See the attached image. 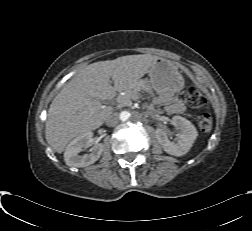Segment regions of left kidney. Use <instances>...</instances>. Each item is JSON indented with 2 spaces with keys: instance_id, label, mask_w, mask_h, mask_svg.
<instances>
[{
  "instance_id": "left-kidney-1",
  "label": "left kidney",
  "mask_w": 252,
  "mask_h": 231,
  "mask_svg": "<svg viewBox=\"0 0 252 231\" xmlns=\"http://www.w3.org/2000/svg\"><path fill=\"white\" fill-rule=\"evenodd\" d=\"M172 124L178 127L181 132L177 143L171 142L162 129L156 130V137L165 152L174 156H182L190 150L198 132L190 121L181 116H174Z\"/></svg>"
}]
</instances>
